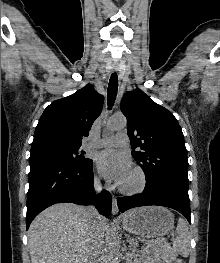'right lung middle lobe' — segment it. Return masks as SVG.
I'll list each match as a JSON object with an SVG mask.
<instances>
[{
	"instance_id": "obj_1",
	"label": "right lung middle lobe",
	"mask_w": 220,
	"mask_h": 263,
	"mask_svg": "<svg viewBox=\"0 0 220 263\" xmlns=\"http://www.w3.org/2000/svg\"><path fill=\"white\" fill-rule=\"evenodd\" d=\"M79 147L68 149H49L31 156H42L52 158L61 162L82 166L91 162V159L85 158L83 153L78 154Z\"/></svg>"
}]
</instances>
